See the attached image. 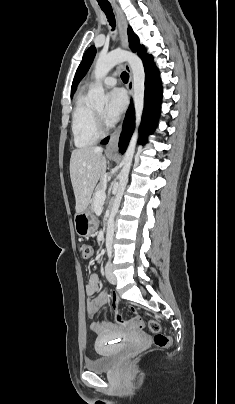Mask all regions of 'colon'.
<instances>
[{
    "instance_id": "1",
    "label": "colon",
    "mask_w": 235,
    "mask_h": 404,
    "mask_svg": "<svg viewBox=\"0 0 235 404\" xmlns=\"http://www.w3.org/2000/svg\"><path fill=\"white\" fill-rule=\"evenodd\" d=\"M80 252H81V256L84 260H88L92 257L93 254V249L90 245L88 244H81L80 245ZM116 320L118 323L120 324H124L125 320L123 319L122 315L120 313L116 314ZM129 324L135 328H143L144 327V323L143 321L138 318V317H134L131 318L129 321ZM148 331L150 333H152L153 336V340H154V345L157 348H167L170 346V338L167 335H164L162 333H160L161 330V324L159 321L157 320H151L148 323Z\"/></svg>"
}]
</instances>
